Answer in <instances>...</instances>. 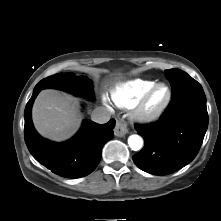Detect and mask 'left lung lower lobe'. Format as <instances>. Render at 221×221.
I'll list each match as a JSON object with an SVG mask.
<instances>
[{
	"instance_id": "obj_1",
	"label": "left lung lower lobe",
	"mask_w": 221,
	"mask_h": 221,
	"mask_svg": "<svg viewBox=\"0 0 221 221\" xmlns=\"http://www.w3.org/2000/svg\"><path fill=\"white\" fill-rule=\"evenodd\" d=\"M208 127L206 97L201 85L171 97L160 119L135 129L144 138L134 163L154 175H167L189 164L197 155Z\"/></svg>"
}]
</instances>
